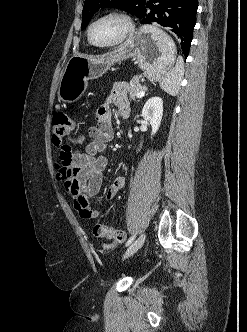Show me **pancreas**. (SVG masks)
Listing matches in <instances>:
<instances>
[{
	"label": "pancreas",
	"mask_w": 247,
	"mask_h": 332,
	"mask_svg": "<svg viewBox=\"0 0 247 332\" xmlns=\"http://www.w3.org/2000/svg\"><path fill=\"white\" fill-rule=\"evenodd\" d=\"M141 76H135L129 83L128 94L131 99H135L136 95L145 90V86L140 83Z\"/></svg>",
	"instance_id": "obj_1"
}]
</instances>
